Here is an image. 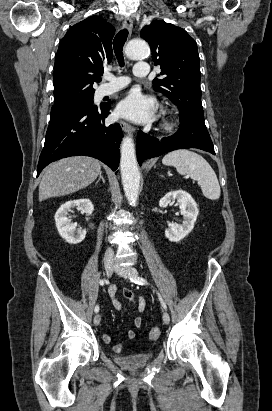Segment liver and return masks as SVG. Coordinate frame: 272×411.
Segmentation results:
<instances>
[{
	"instance_id": "1",
	"label": "liver",
	"mask_w": 272,
	"mask_h": 411,
	"mask_svg": "<svg viewBox=\"0 0 272 411\" xmlns=\"http://www.w3.org/2000/svg\"><path fill=\"white\" fill-rule=\"evenodd\" d=\"M100 172V162L88 156H73L54 162L42 174L39 201L83 189L91 184Z\"/></svg>"
}]
</instances>
